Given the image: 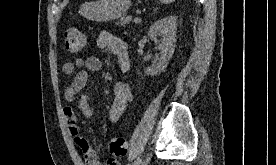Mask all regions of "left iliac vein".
<instances>
[{"mask_svg": "<svg viewBox=\"0 0 276 165\" xmlns=\"http://www.w3.org/2000/svg\"><path fill=\"white\" fill-rule=\"evenodd\" d=\"M149 160H150V157H147V159L145 161H143V162L141 161L139 163V165H148Z\"/></svg>", "mask_w": 276, "mask_h": 165, "instance_id": "4c4485c4", "label": "left iliac vein"}]
</instances>
